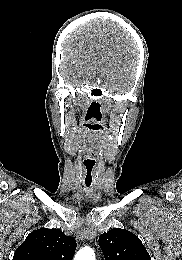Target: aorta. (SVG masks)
<instances>
[{"mask_svg": "<svg viewBox=\"0 0 182 260\" xmlns=\"http://www.w3.org/2000/svg\"><path fill=\"white\" fill-rule=\"evenodd\" d=\"M74 260H96L94 250L90 247H84L76 253Z\"/></svg>", "mask_w": 182, "mask_h": 260, "instance_id": "762f6f07", "label": "aorta"}]
</instances>
